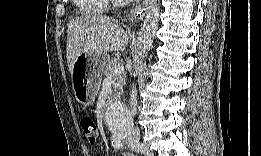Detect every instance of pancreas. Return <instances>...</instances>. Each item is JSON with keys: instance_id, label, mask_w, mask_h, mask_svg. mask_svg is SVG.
I'll return each instance as SVG.
<instances>
[{"instance_id": "obj_1", "label": "pancreas", "mask_w": 261, "mask_h": 156, "mask_svg": "<svg viewBox=\"0 0 261 156\" xmlns=\"http://www.w3.org/2000/svg\"><path fill=\"white\" fill-rule=\"evenodd\" d=\"M117 63H118L117 58H114L111 60L109 59L101 70L102 75H104L106 77H109V76L112 77V83H113V88H114L113 93L115 95H118L122 91L123 85H125V79H126L125 72H122L120 74L112 73V68Z\"/></svg>"}]
</instances>
